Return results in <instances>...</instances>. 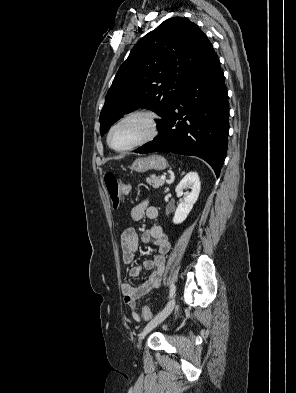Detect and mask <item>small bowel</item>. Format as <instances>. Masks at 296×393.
<instances>
[{"label": "small bowel", "mask_w": 296, "mask_h": 393, "mask_svg": "<svg viewBox=\"0 0 296 393\" xmlns=\"http://www.w3.org/2000/svg\"><path fill=\"white\" fill-rule=\"evenodd\" d=\"M157 216V209L153 206H149L147 201L135 205L130 210V217L134 221H140L143 218L155 220ZM139 240L145 244H153L157 249V254L152 259H146L141 264L134 265L130 268L129 274L131 277H138L142 268L151 270L152 272L146 280L137 285L129 282L122 284L124 302L129 308L130 315L136 321L140 320L136 309V302L142 296L157 289L161 285L165 257L171 248V243L167 235L159 226H152L143 231L140 239L134 228H127L120 236L121 255L124 263H133L134 253L138 249Z\"/></svg>", "instance_id": "small-bowel-1"}]
</instances>
